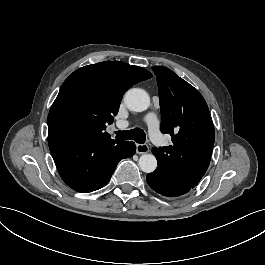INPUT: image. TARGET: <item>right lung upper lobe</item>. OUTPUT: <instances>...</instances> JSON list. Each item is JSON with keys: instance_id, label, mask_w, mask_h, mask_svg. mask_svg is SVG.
Here are the masks:
<instances>
[{"instance_id": "obj_1", "label": "right lung upper lobe", "mask_w": 265, "mask_h": 265, "mask_svg": "<svg viewBox=\"0 0 265 265\" xmlns=\"http://www.w3.org/2000/svg\"><path fill=\"white\" fill-rule=\"evenodd\" d=\"M151 77L146 69L120 61L84 66L64 81L49 113L63 104H84L93 110L86 136L110 137L105 128L112 124L122 95L134 84Z\"/></svg>"}]
</instances>
